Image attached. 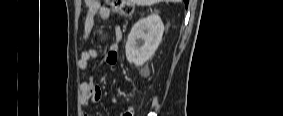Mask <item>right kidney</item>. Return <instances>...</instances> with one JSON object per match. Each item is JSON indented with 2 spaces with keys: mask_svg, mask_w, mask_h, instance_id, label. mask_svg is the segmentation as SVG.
<instances>
[{
  "mask_svg": "<svg viewBox=\"0 0 283 116\" xmlns=\"http://www.w3.org/2000/svg\"><path fill=\"white\" fill-rule=\"evenodd\" d=\"M164 32L161 18L151 14L140 19L131 29L125 46L126 58L135 66H142L158 48Z\"/></svg>",
  "mask_w": 283,
  "mask_h": 116,
  "instance_id": "right-kidney-1",
  "label": "right kidney"
}]
</instances>
